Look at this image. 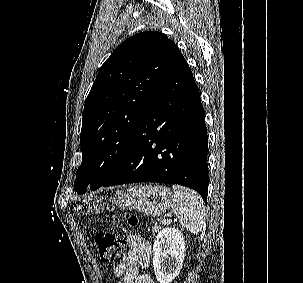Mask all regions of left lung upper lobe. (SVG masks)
I'll use <instances>...</instances> for the list:
<instances>
[{"mask_svg":"<svg viewBox=\"0 0 303 283\" xmlns=\"http://www.w3.org/2000/svg\"><path fill=\"white\" fill-rule=\"evenodd\" d=\"M180 53L165 34L145 31L121 43L101 66L84 106L82 164L74 182L78 194H84L88 184L98 189L118 170Z\"/></svg>","mask_w":303,"mask_h":283,"instance_id":"left-lung-upper-lobe-1","label":"left lung upper lobe"}]
</instances>
